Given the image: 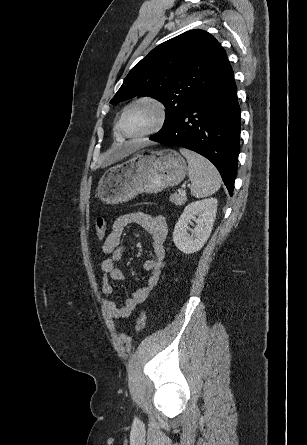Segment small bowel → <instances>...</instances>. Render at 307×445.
I'll return each instance as SVG.
<instances>
[{
  "instance_id": "small-bowel-1",
  "label": "small bowel",
  "mask_w": 307,
  "mask_h": 445,
  "mask_svg": "<svg viewBox=\"0 0 307 445\" xmlns=\"http://www.w3.org/2000/svg\"><path fill=\"white\" fill-rule=\"evenodd\" d=\"M141 226L150 235L153 257L148 259L144 267L150 272L145 286L133 292L132 296L122 303L118 300L107 298L102 304L107 314L113 319L129 317L151 294L158 284L164 269L165 247L164 242L168 233L166 218L159 213L148 214L142 210H135L119 216L113 223L110 233L102 245V252L107 257L101 263L103 275L101 277V290L104 295L113 293L111 281H122L124 274L118 267L122 259L124 249L122 246V234L130 224Z\"/></svg>"
}]
</instances>
